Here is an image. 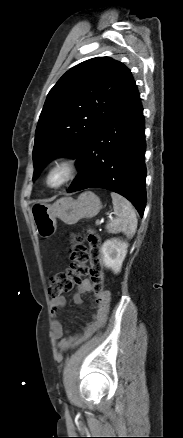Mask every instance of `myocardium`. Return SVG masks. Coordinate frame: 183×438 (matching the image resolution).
<instances>
[{"instance_id":"f54148a6","label":"myocardium","mask_w":183,"mask_h":438,"mask_svg":"<svg viewBox=\"0 0 183 438\" xmlns=\"http://www.w3.org/2000/svg\"><path fill=\"white\" fill-rule=\"evenodd\" d=\"M56 170L62 171L64 173V178L59 184L51 185L49 182V177ZM76 172H77V164L73 159L63 158L57 160L48 168L45 174V184L50 189L53 190L60 189L74 178Z\"/></svg>"}]
</instances>
